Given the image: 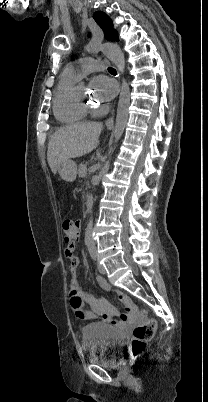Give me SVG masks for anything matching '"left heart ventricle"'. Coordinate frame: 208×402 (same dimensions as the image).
Here are the masks:
<instances>
[{"instance_id":"b2bd125f","label":"left heart ventricle","mask_w":208,"mask_h":402,"mask_svg":"<svg viewBox=\"0 0 208 402\" xmlns=\"http://www.w3.org/2000/svg\"><path fill=\"white\" fill-rule=\"evenodd\" d=\"M101 94L99 96H97L96 98H94V100H100ZM86 99L89 100V98L86 96Z\"/></svg>"}]
</instances>
